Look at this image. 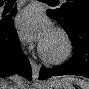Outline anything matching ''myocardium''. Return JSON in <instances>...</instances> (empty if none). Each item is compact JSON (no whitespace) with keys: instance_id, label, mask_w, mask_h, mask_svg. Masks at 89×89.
<instances>
[{"instance_id":"obj_1","label":"myocardium","mask_w":89,"mask_h":89,"mask_svg":"<svg viewBox=\"0 0 89 89\" xmlns=\"http://www.w3.org/2000/svg\"><path fill=\"white\" fill-rule=\"evenodd\" d=\"M53 33L60 36L63 41L62 52L57 56H52L46 51L44 45L40 44L39 53L45 62L53 65H58L66 62L70 58L73 50V45L68 33L64 29L57 27L53 30Z\"/></svg>"}]
</instances>
